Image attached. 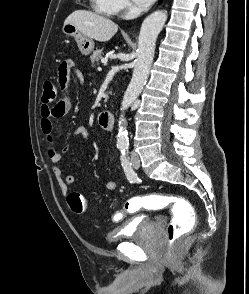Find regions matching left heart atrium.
Instances as JSON below:
<instances>
[{"mask_svg":"<svg viewBox=\"0 0 249 294\" xmlns=\"http://www.w3.org/2000/svg\"><path fill=\"white\" fill-rule=\"evenodd\" d=\"M136 3L138 4H149L151 3L153 0H134Z\"/></svg>","mask_w":249,"mask_h":294,"instance_id":"obj_1","label":"left heart atrium"}]
</instances>
